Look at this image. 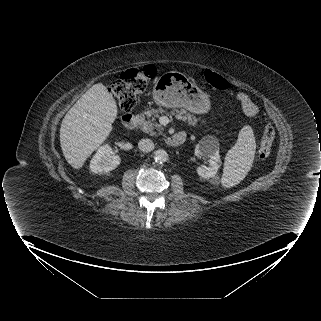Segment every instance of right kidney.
Listing matches in <instances>:
<instances>
[{
  "label": "right kidney",
  "instance_id": "obj_1",
  "mask_svg": "<svg viewBox=\"0 0 321 321\" xmlns=\"http://www.w3.org/2000/svg\"><path fill=\"white\" fill-rule=\"evenodd\" d=\"M119 163L120 157L107 144L98 149L90 162V169L93 173H107L115 169Z\"/></svg>",
  "mask_w": 321,
  "mask_h": 321
}]
</instances>
